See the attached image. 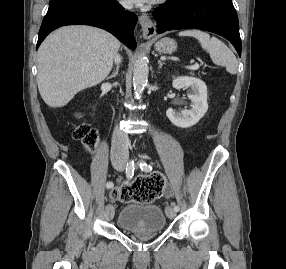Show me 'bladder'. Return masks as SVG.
I'll return each instance as SVG.
<instances>
[{
  "label": "bladder",
  "instance_id": "bladder-1",
  "mask_svg": "<svg viewBox=\"0 0 286 269\" xmlns=\"http://www.w3.org/2000/svg\"><path fill=\"white\" fill-rule=\"evenodd\" d=\"M119 227L130 233L163 232L166 215L158 205L128 203L119 212Z\"/></svg>",
  "mask_w": 286,
  "mask_h": 269
}]
</instances>
